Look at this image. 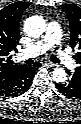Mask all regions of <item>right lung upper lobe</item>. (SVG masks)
<instances>
[{
  "label": "right lung upper lobe",
  "mask_w": 81,
  "mask_h": 124,
  "mask_svg": "<svg viewBox=\"0 0 81 124\" xmlns=\"http://www.w3.org/2000/svg\"><path fill=\"white\" fill-rule=\"evenodd\" d=\"M29 5L19 1L0 10V80L19 66L11 60V52L16 50L20 38V19Z\"/></svg>",
  "instance_id": "obj_1"
}]
</instances>
